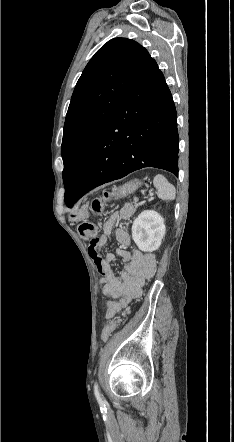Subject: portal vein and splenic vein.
<instances>
[{
	"label": "portal vein and splenic vein",
	"instance_id": "portal-vein-and-splenic-vein-1",
	"mask_svg": "<svg viewBox=\"0 0 234 442\" xmlns=\"http://www.w3.org/2000/svg\"><path fill=\"white\" fill-rule=\"evenodd\" d=\"M154 194H155V192H153V191H150V192H149V196H150V197H153Z\"/></svg>",
	"mask_w": 234,
	"mask_h": 442
}]
</instances>
